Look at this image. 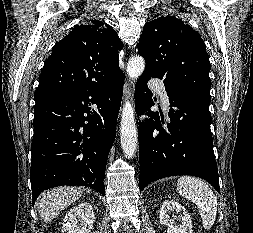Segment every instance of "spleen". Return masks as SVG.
I'll list each match as a JSON object with an SVG mask.
<instances>
[{"label": "spleen", "mask_w": 253, "mask_h": 233, "mask_svg": "<svg viewBox=\"0 0 253 233\" xmlns=\"http://www.w3.org/2000/svg\"><path fill=\"white\" fill-rule=\"evenodd\" d=\"M177 191L180 196L196 204L203 227L210 230L217 214V199L208 184L195 177L182 176L178 179Z\"/></svg>", "instance_id": "1"}]
</instances>
